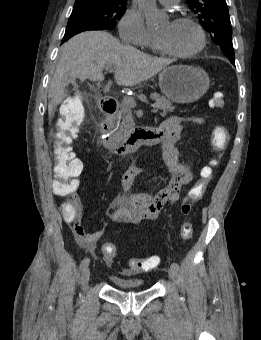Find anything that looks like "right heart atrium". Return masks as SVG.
I'll return each instance as SVG.
<instances>
[{"label": "right heart atrium", "instance_id": "right-heart-atrium-1", "mask_svg": "<svg viewBox=\"0 0 261 340\" xmlns=\"http://www.w3.org/2000/svg\"><path fill=\"white\" fill-rule=\"evenodd\" d=\"M118 30L124 42L135 46L145 47L153 39L142 14L135 8H130L124 13L119 21Z\"/></svg>", "mask_w": 261, "mask_h": 340}]
</instances>
